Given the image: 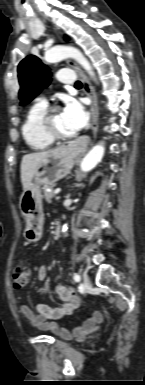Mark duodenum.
I'll use <instances>...</instances> for the list:
<instances>
[{
    "label": "duodenum",
    "mask_w": 145,
    "mask_h": 385,
    "mask_svg": "<svg viewBox=\"0 0 145 385\" xmlns=\"http://www.w3.org/2000/svg\"><path fill=\"white\" fill-rule=\"evenodd\" d=\"M60 234H61V226L58 224L54 231H53V237L54 239H58L60 237Z\"/></svg>",
    "instance_id": "obj_1"
}]
</instances>
